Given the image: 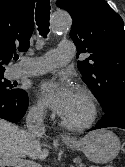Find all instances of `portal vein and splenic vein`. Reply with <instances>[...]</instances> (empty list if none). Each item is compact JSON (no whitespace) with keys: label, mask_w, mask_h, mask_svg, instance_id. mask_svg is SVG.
Masks as SVG:
<instances>
[{"label":"portal vein and splenic vein","mask_w":125,"mask_h":167,"mask_svg":"<svg viewBox=\"0 0 125 167\" xmlns=\"http://www.w3.org/2000/svg\"><path fill=\"white\" fill-rule=\"evenodd\" d=\"M76 161L77 160L75 159L74 162ZM1 165H9L13 167H41L39 164L21 158H2L0 159V166Z\"/></svg>","instance_id":"obj_1"}]
</instances>
